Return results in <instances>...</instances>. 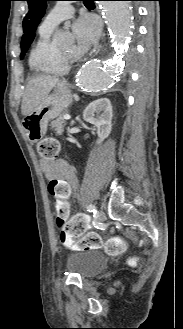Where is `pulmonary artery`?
Here are the masks:
<instances>
[{"mask_svg": "<svg viewBox=\"0 0 183 329\" xmlns=\"http://www.w3.org/2000/svg\"><path fill=\"white\" fill-rule=\"evenodd\" d=\"M74 11L69 2H58L43 19L40 31L52 32L62 21L72 17Z\"/></svg>", "mask_w": 183, "mask_h": 329, "instance_id": "1", "label": "pulmonary artery"}]
</instances>
